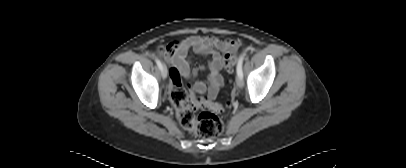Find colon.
<instances>
[{
	"instance_id": "colon-1",
	"label": "colon",
	"mask_w": 406,
	"mask_h": 168,
	"mask_svg": "<svg viewBox=\"0 0 406 168\" xmlns=\"http://www.w3.org/2000/svg\"><path fill=\"white\" fill-rule=\"evenodd\" d=\"M237 60L236 55L226 54L222 59L223 70L228 74L232 73ZM173 78L174 84L170 90V98L175 105L180 125L203 139H212L222 134L224 123L217 113L221 112L223 107L207 98H198L189 94L181 82H178L175 72ZM197 111L200 112L197 114Z\"/></svg>"
}]
</instances>
